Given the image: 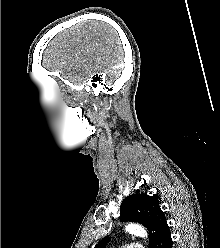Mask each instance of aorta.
<instances>
[{"label":"aorta","instance_id":"obj_1","mask_svg":"<svg viewBox=\"0 0 220 248\" xmlns=\"http://www.w3.org/2000/svg\"><path fill=\"white\" fill-rule=\"evenodd\" d=\"M125 231L130 233V234L142 237V238L147 237L146 230L144 229V227H142L139 224H134V223L127 224L125 226Z\"/></svg>","mask_w":220,"mask_h":248}]
</instances>
